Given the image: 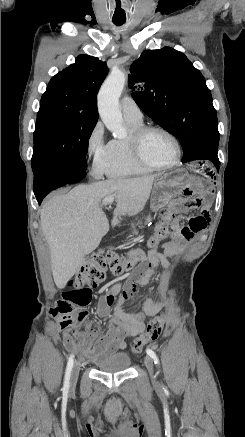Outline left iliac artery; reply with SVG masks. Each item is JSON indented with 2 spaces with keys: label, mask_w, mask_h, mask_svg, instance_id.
<instances>
[{
  "label": "left iliac artery",
  "mask_w": 245,
  "mask_h": 437,
  "mask_svg": "<svg viewBox=\"0 0 245 437\" xmlns=\"http://www.w3.org/2000/svg\"><path fill=\"white\" fill-rule=\"evenodd\" d=\"M146 352L150 356V358L154 360V363L159 365V359H158L156 353L151 349H147Z\"/></svg>",
  "instance_id": "obj_1"
}]
</instances>
